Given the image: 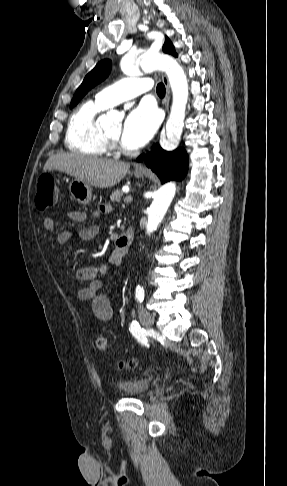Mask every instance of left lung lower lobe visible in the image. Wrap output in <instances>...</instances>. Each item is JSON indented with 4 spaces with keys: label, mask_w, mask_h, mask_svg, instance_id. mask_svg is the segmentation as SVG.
Instances as JSON below:
<instances>
[{
    "label": "left lung lower lobe",
    "mask_w": 287,
    "mask_h": 486,
    "mask_svg": "<svg viewBox=\"0 0 287 486\" xmlns=\"http://www.w3.org/2000/svg\"><path fill=\"white\" fill-rule=\"evenodd\" d=\"M143 159L145 164L158 175L162 183L169 180H180L187 173L188 156L182 148L167 152L155 144L149 153L145 156L141 155L137 161L140 162Z\"/></svg>",
    "instance_id": "left-lung-lower-lobe-1"
}]
</instances>
